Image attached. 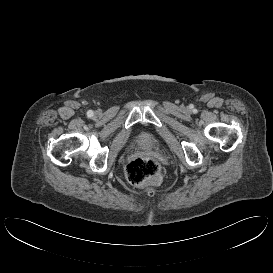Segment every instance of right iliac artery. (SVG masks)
Masks as SVG:
<instances>
[{"label": "right iliac artery", "mask_w": 273, "mask_h": 273, "mask_svg": "<svg viewBox=\"0 0 273 273\" xmlns=\"http://www.w3.org/2000/svg\"><path fill=\"white\" fill-rule=\"evenodd\" d=\"M87 115H88L89 117L93 116V111H92V110H89V111L87 112Z\"/></svg>", "instance_id": "1"}]
</instances>
